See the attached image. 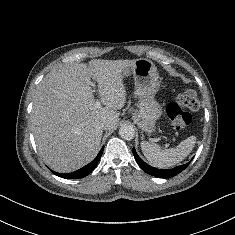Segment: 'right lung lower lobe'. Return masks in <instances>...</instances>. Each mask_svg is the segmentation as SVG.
Instances as JSON below:
<instances>
[{
	"instance_id": "right-lung-lower-lobe-1",
	"label": "right lung lower lobe",
	"mask_w": 235,
	"mask_h": 235,
	"mask_svg": "<svg viewBox=\"0 0 235 235\" xmlns=\"http://www.w3.org/2000/svg\"><path fill=\"white\" fill-rule=\"evenodd\" d=\"M103 150H104V147H102V149L100 150V152L98 153V155L96 156V158L89 164H87L86 166H84L83 168L75 171V172H72V173H67V174H61V173H57V172H54L52 171L54 174H56L57 176L59 177H62V178H66V179H78V178H83L85 176H87L89 173H91L97 163L99 162L100 160V157L103 153Z\"/></svg>"
}]
</instances>
